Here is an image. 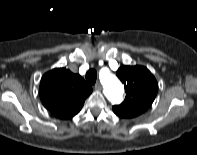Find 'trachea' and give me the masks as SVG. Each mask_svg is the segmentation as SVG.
Wrapping results in <instances>:
<instances>
[{
	"instance_id": "1",
	"label": "trachea",
	"mask_w": 197,
	"mask_h": 155,
	"mask_svg": "<svg viewBox=\"0 0 197 155\" xmlns=\"http://www.w3.org/2000/svg\"><path fill=\"white\" fill-rule=\"evenodd\" d=\"M97 79V72L94 69H90L86 73V80L89 84L94 85Z\"/></svg>"
}]
</instances>
